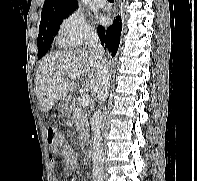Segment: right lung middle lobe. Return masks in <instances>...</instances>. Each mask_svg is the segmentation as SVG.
<instances>
[{
	"label": "right lung middle lobe",
	"instance_id": "right-lung-middle-lobe-1",
	"mask_svg": "<svg viewBox=\"0 0 197 181\" xmlns=\"http://www.w3.org/2000/svg\"><path fill=\"white\" fill-rule=\"evenodd\" d=\"M74 10L41 17L38 35V58H42L50 49L54 36L58 33L63 19Z\"/></svg>",
	"mask_w": 197,
	"mask_h": 181
}]
</instances>
